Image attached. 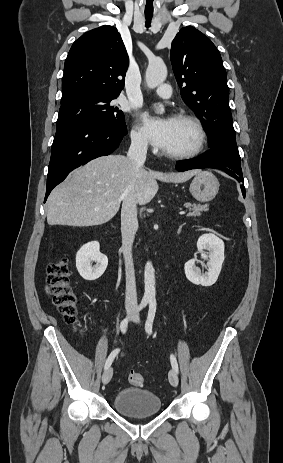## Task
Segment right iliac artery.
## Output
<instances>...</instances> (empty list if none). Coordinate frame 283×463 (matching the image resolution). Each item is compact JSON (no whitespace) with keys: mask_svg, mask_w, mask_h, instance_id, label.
Returning a JSON list of instances; mask_svg holds the SVG:
<instances>
[{"mask_svg":"<svg viewBox=\"0 0 283 463\" xmlns=\"http://www.w3.org/2000/svg\"><path fill=\"white\" fill-rule=\"evenodd\" d=\"M149 300L148 299H142L138 309H137V312L141 311L142 309H144L147 304H148ZM128 322H129V317L125 318L122 320L121 324H120V329L122 331V333H125L126 330H127V327H128ZM119 353V349H115L111 352V354L109 355V357L107 358L106 362H105V366L104 368L107 369L111 366L115 356Z\"/></svg>","mask_w":283,"mask_h":463,"instance_id":"right-iliac-artery-1","label":"right iliac artery"}]
</instances>
